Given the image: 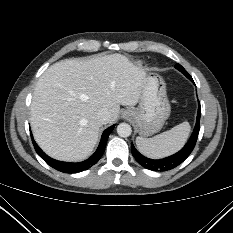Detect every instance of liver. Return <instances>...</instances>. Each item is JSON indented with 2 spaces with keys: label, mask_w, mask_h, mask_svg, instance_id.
<instances>
[{
  "label": "liver",
  "mask_w": 233,
  "mask_h": 233,
  "mask_svg": "<svg viewBox=\"0 0 233 233\" xmlns=\"http://www.w3.org/2000/svg\"><path fill=\"white\" fill-rule=\"evenodd\" d=\"M145 70L121 54L91 59H65L39 78L31 103V128L50 157L76 162L93 151L102 123L97 115L117 120L120 105L134 106L141 94Z\"/></svg>",
  "instance_id": "obj_1"
}]
</instances>
